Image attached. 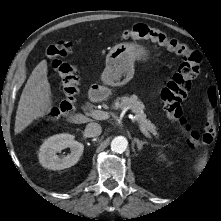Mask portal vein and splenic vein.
I'll use <instances>...</instances> for the list:
<instances>
[{
	"mask_svg": "<svg viewBox=\"0 0 221 221\" xmlns=\"http://www.w3.org/2000/svg\"><path fill=\"white\" fill-rule=\"evenodd\" d=\"M89 114L96 120H106L109 118V113L103 110H91ZM139 129L146 137L151 138L150 134L141 124H139Z\"/></svg>",
	"mask_w": 221,
	"mask_h": 221,
	"instance_id": "18ae733b",
	"label": "portal vein and splenic vein"
}]
</instances>
